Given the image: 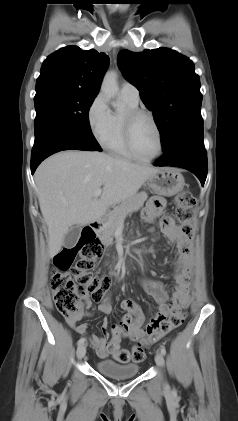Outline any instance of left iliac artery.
Listing matches in <instances>:
<instances>
[{
    "label": "left iliac artery",
    "mask_w": 238,
    "mask_h": 421,
    "mask_svg": "<svg viewBox=\"0 0 238 421\" xmlns=\"http://www.w3.org/2000/svg\"><path fill=\"white\" fill-rule=\"evenodd\" d=\"M161 354L162 355H165L166 354V349L163 346H161Z\"/></svg>",
    "instance_id": "obj_1"
}]
</instances>
